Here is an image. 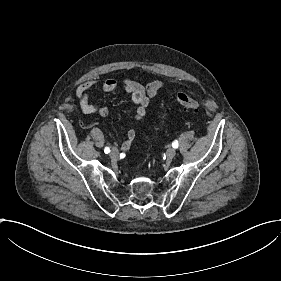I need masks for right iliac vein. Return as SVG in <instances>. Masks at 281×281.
<instances>
[{"instance_id": "obj_1", "label": "right iliac vein", "mask_w": 281, "mask_h": 281, "mask_svg": "<svg viewBox=\"0 0 281 281\" xmlns=\"http://www.w3.org/2000/svg\"><path fill=\"white\" fill-rule=\"evenodd\" d=\"M110 156L112 158H117L119 156V151L117 149H112Z\"/></svg>"}]
</instances>
